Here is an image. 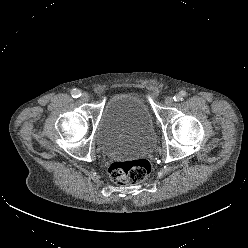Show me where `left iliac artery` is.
<instances>
[{"mask_svg": "<svg viewBox=\"0 0 248 248\" xmlns=\"http://www.w3.org/2000/svg\"><path fill=\"white\" fill-rule=\"evenodd\" d=\"M187 93L185 91L179 92V94H176L173 99L176 102L182 101L184 97H186Z\"/></svg>", "mask_w": 248, "mask_h": 248, "instance_id": "1", "label": "left iliac artery"}]
</instances>
